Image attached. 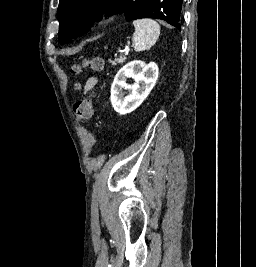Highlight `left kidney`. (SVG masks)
Masks as SVG:
<instances>
[{
	"label": "left kidney",
	"mask_w": 256,
	"mask_h": 267,
	"mask_svg": "<svg viewBox=\"0 0 256 267\" xmlns=\"http://www.w3.org/2000/svg\"><path fill=\"white\" fill-rule=\"evenodd\" d=\"M158 74L159 68L155 62L145 64L141 60H133L123 66L117 72L111 86V104L115 112L130 114L136 110L153 90L158 80ZM128 78H133L135 84H126ZM123 90H128V94Z\"/></svg>",
	"instance_id": "obj_1"
}]
</instances>
